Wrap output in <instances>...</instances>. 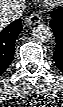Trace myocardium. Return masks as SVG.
Segmentation results:
<instances>
[{
  "instance_id": "1",
  "label": "myocardium",
  "mask_w": 63,
  "mask_h": 107,
  "mask_svg": "<svg viewBox=\"0 0 63 107\" xmlns=\"http://www.w3.org/2000/svg\"><path fill=\"white\" fill-rule=\"evenodd\" d=\"M45 1H47V3H49V4H53V3L58 4V3H60V0H45Z\"/></svg>"
}]
</instances>
